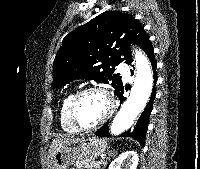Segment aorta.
Returning a JSON list of instances; mask_svg holds the SVG:
<instances>
[{"instance_id": "762f6f07", "label": "aorta", "mask_w": 200, "mask_h": 169, "mask_svg": "<svg viewBox=\"0 0 200 169\" xmlns=\"http://www.w3.org/2000/svg\"><path fill=\"white\" fill-rule=\"evenodd\" d=\"M136 77L130 96L113 119L110 132L119 135L128 130L135 118L145 108L153 87V73L150 62L140 50H135Z\"/></svg>"}]
</instances>
